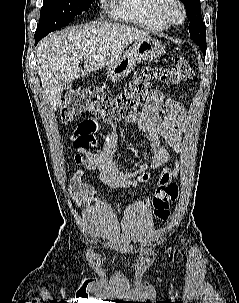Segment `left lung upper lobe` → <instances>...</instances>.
Wrapping results in <instances>:
<instances>
[{
    "mask_svg": "<svg viewBox=\"0 0 239 303\" xmlns=\"http://www.w3.org/2000/svg\"><path fill=\"white\" fill-rule=\"evenodd\" d=\"M186 7L187 17L190 19V38L196 42L203 54H206V27L201 15L200 0H181Z\"/></svg>",
    "mask_w": 239,
    "mask_h": 303,
    "instance_id": "1",
    "label": "left lung upper lobe"
}]
</instances>
